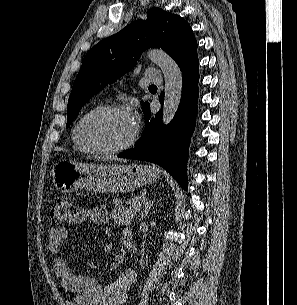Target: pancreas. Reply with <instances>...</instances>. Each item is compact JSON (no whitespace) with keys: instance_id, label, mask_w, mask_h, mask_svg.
Returning a JSON list of instances; mask_svg holds the SVG:
<instances>
[{"instance_id":"pancreas-1","label":"pancreas","mask_w":297,"mask_h":305,"mask_svg":"<svg viewBox=\"0 0 297 305\" xmlns=\"http://www.w3.org/2000/svg\"><path fill=\"white\" fill-rule=\"evenodd\" d=\"M114 209L110 213V219L119 225L130 224L134 218L136 210H134L133 205L129 207H124L120 200H114Z\"/></svg>"}]
</instances>
